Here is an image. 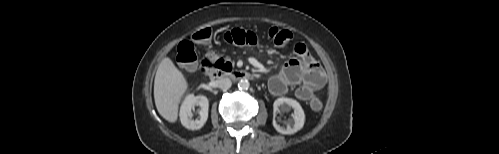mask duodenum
I'll return each mask as SVG.
<instances>
[{
  "label": "duodenum",
  "mask_w": 499,
  "mask_h": 154,
  "mask_svg": "<svg viewBox=\"0 0 499 154\" xmlns=\"http://www.w3.org/2000/svg\"><path fill=\"white\" fill-rule=\"evenodd\" d=\"M208 75L212 79L229 78L234 81L253 80L256 78V75L252 72L232 69L226 72H222L218 69H210Z\"/></svg>",
  "instance_id": "410a0bca"
}]
</instances>
